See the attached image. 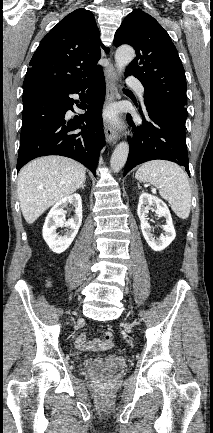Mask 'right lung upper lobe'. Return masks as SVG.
<instances>
[{"label": "right lung upper lobe", "mask_w": 213, "mask_h": 433, "mask_svg": "<svg viewBox=\"0 0 213 433\" xmlns=\"http://www.w3.org/2000/svg\"><path fill=\"white\" fill-rule=\"evenodd\" d=\"M100 42L94 15L77 9L63 18L40 42L27 69L23 89H67L100 72L97 65L108 48Z\"/></svg>", "instance_id": "cb5924a9"}]
</instances>
